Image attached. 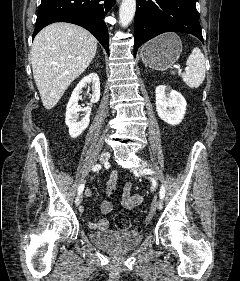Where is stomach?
Here are the masks:
<instances>
[{"mask_svg": "<svg viewBox=\"0 0 240 281\" xmlns=\"http://www.w3.org/2000/svg\"><path fill=\"white\" fill-rule=\"evenodd\" d=\"M182 43L175 33H166L146 43L140 52L142 62L153 69L166 70L179 58Z\"/></svg>", "mask_w": 240, "mask_h": 281, "instance_id": "0dacf381", "label": "stomach"}]
</instances>
